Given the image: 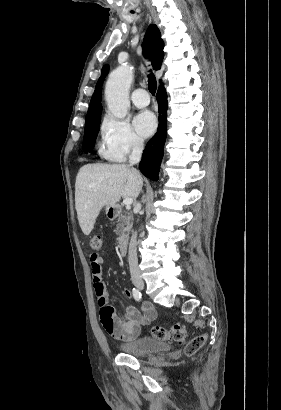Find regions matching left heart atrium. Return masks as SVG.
Wrapping results in <instances>:
<instances>
[{
    "label": "left heart atrium",
    "mask_w": 281,
    "mask_h": 410,
    "mask_svg": "<svg viewBox=\"0 0 281 410\" xmlns=\"http://www.w3.org/2000/svg\"><path fill=\"white\" fill-rule=\"evenodd\" d=\"M133 125L140 136L148 137L155 131L157 122L152 112L142 111L134 118Z\"/></svg>",
    "instance_id": "left-heart-atrium-1"
}]
</instances>
